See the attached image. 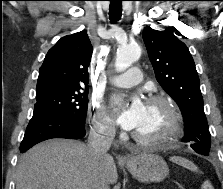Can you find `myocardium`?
Wrapping results in <instances>:
<instances>
[{"label":"myocardium","mask_w":223,"mask_h":189,"mask_svg":"<svg viewBox=\"0 0 223 189\" xmlns=\"http://www.w3.org/2000/svg\"><path fill=\"white\" fill-rule=\"evenodd\" d=\"M148 104H161L168 114V121L164 128L154 134L133 132L132 137L142 143H155L177 135L182 126V115L174 100L165 94H154L147 98Z\"/></svg>","instance_id":"myocardium-1"}]
</instances>
